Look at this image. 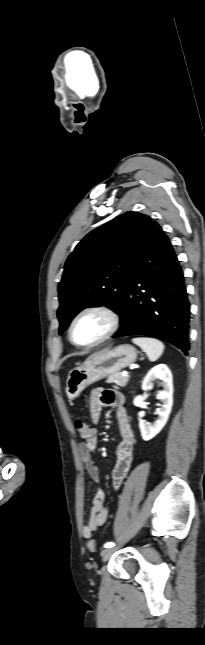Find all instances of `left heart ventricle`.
I'll return each instance as SVG.
<instances>
[{"mask_svg":"<svg viewBox=\"0 0 205 645\" xmlns=\"http://www.w3.org/2000/svg\"><path fill=\"white\" fill-rule=\"evenodd\" d=\"M107 329L106 319L96 313L82 316L74 326L73 336L79 343H90L98 339Z\"/></svg>","mask_w":205,"mask_h":645,"instance_id":"left-heart-ventricle-1","label":"left heart ventricle"}]
</instances>
